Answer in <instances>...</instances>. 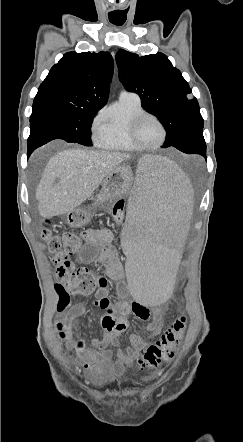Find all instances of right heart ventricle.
I'll use <instances>...</instances> for the list:
<instances>
[{"label":"right heart ventricle","mask_w":243,"mask_h":442,"mask_svg":"<svg viewBox=\"0 0 243 442\" xmlns=\"http://www.w3.org/2000/svg\"><path fill=\"white\" fill-rule=\"evenodd\" d=\"M145 112L140 99L120 98L102 116L94 133L95 143L109 150L135 152L139 149L131 142L129 128L138 114Z\"/></svg>","instance_id":"1"}]
</instances>
